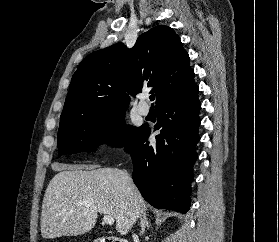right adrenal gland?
Masks as SVG:
<instances>
[{"instance_id": "1", "label": "right adrenal gland", "mask_w": 279, "mask_h": 242, "mask_svg": "<svg viewBox=\"0 0 279 242\" xmlns=\"http://www.w3.org/2000/svg\"><path fill=\"white\" fill-rule=\"evenodd\" d=\"M147 213H143V215L140 217V227H141V231L139 233V235H143V233L145 232V229L149 228L151 226L150 221L147 219Z\"/></svg>"}]
</instances>
